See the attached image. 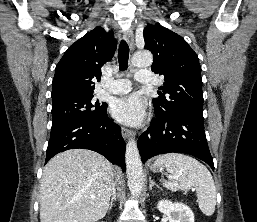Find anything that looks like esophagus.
Returning <instances> with one entry per match:
<instances>
[{
    "instance_id": "34e87169",
    "label": "esophagus",
    "mask_w": 257,
    "mask_h": 222,
    "mask_svg": "<svg viewBox=\"0 0 257 222\" xmlns=\"http://www.w3.org/2000/svg\"><path fill=\"white\" fill-rule=\"evenodd\" d=\"M124 38L127 41V43L129 44L130 48L133 50L134 49V36H133V32L131 30H128L126 32H124ZM122 136L127 139L130 136H132V132L127 129V128H122Z\"/></svg>"
}]
</instances>
